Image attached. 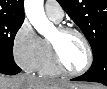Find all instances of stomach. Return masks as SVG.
<instances>
[{
	"label": "stomach",
	"mask_w": 107,
	"mask_h": 89,
	"mask_svg": "<svg viewBox=\"0 0 107 89\" xmlns=\"http://www.w3.org/2000/svg\"><path fill=\"white\" fill-rule=\"evenodd\" d=\"M61 89H79V88L68 86V87H64V88H61Z\"/></svg>",
	"instance_id": "obj_1"
}]
</instances>
